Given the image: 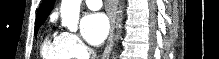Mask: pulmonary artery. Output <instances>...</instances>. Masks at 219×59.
I'll list each match as a JSON object with an SVG mask.
<instances>
[{
    "label": "pulmonary artery",
    "mask_w": 219,
    "mask_h": 59,
    "mask_svg": "<svg viewBox=\"0 0 219 59\" xmlns=\"http://www.w3.org/2000/svg\"><path fill=\"white\" fill-rule=\"evenodd\" d=\"M85 3L92 10L100 9L102 6L100 0H85Z\"/></svg>",
    "instance_id": "e3ab8cb5"
}]
</instances>
